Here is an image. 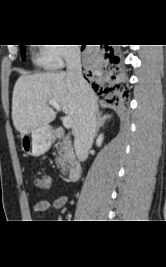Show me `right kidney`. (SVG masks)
Segmentation results:
<instances>
[{"label":"right kidney","mask_w":166,"mask_h":267,"mask_svg":"<svg viewBox=\"0 0 166 267\" xmlns=\"http://www.w3.org/2000/svg\"><path fill=\"white\" fill-rule=\"evenodd\" d=\"M102 142H103V134L99 135L96 141L97 146H101Z\"/></svg>","instance_id":"obj_1"}]
</instances>
